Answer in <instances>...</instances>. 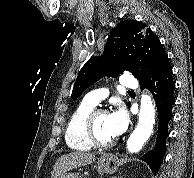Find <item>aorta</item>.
<instances>
[{
	"instance_id": "1",
	"label": "aorta",
	"mask_w": 194,
	"mask_h": 178,
	"mask_svg": "<svg viewBox=\"0 0 194 178\" xmlns=\"http://www.w3.org/2000/svg\"><path fill=\"white\" fill-rule=\"evenodd\" d=\"M155 122V107L149 95H142L140 102L139 121L128 138L127 150L130 153L140 151L144 143L149 139Z\"/></svg>"
}]
</instances>
